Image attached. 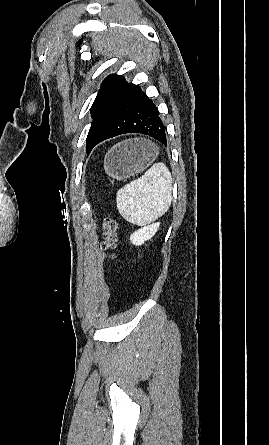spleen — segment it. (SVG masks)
<instances>
[{"label": "spleen", "mask_w": 269, "mask_h": 445, "mask_svg": "<svg viewBox=\"0 0 269 445\" xmlns=\"http://www.w3.org/2000/svg\"><path fill=\"white\" fill-rule=\"evenodd\" d=\"M172 201V176L164 163H155L144 175L117 191L121 216L135 225H147L162 216Z\"/></svg>", "instance_id": "3e777b00"}]
</instances>
